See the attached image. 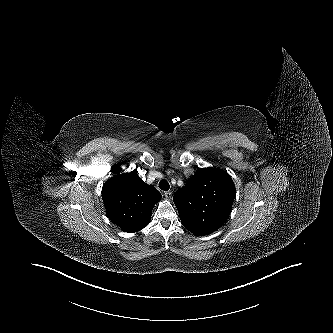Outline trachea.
Here are the masks:
<instances>
[{
	"mask_svg": "<svg viewBox=\"0 0 333 333\" xmlns=\"http://www.w3.org/2000/svg\"><path fill=\"white\" fill-rule=\"evenodd\" d=\"M159 188H160L161 190L168 191L169 188H170V185H169V183H168L166 180L162 179V180L159 182Z\"/></svg>",
	"mask_w": 333,
	"mask_h": 333,
	"instance_id": "3493384b",
	"label": "trachea"
}]
</instances>
